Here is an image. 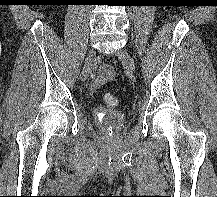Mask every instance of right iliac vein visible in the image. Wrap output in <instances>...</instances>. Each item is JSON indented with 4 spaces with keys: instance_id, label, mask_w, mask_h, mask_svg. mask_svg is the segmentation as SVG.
Masks as SVG:
<instances>
[{
    "instance_id": "obj_1",
    "label": "right iliac vein",
    "mask_w": 217,
    "mask_h": 197,
    "mask_svg": "<svg viewBox=\"0 0 217 197\" xmlns=\"http://www.w3.org/2000/svg\"><path fill=\"white\" fill-rule=\"evenodd\" d=\"M95 61H96V51L94 49H90L87 54L85 64L80 76L81 81H85L88 78V76L90 75V73L92 72L95 66Z\"/></svg>"
}]
</instances>
